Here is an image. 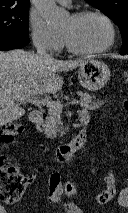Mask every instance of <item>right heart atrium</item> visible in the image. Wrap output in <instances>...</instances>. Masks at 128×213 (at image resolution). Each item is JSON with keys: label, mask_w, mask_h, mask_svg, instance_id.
<instances>
[{"label": "right heart atrium", "mask_w": 128, "mask_h": 213, "mask_svg": "<svg viewBox=\"0 0 128 213\" xmlns=\"http://www.w3.org/2000/svg\"><path fill=\"white\" fill-rule=\"evenodd\" d=\"M29 29L34 44L43 50L58 51L63 46L60 33L52 30L36 12L29 13Z\"/></svg>", "instance_id": "1"}]
</instances>
